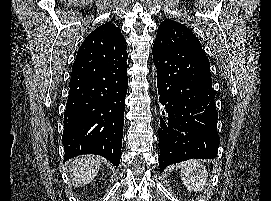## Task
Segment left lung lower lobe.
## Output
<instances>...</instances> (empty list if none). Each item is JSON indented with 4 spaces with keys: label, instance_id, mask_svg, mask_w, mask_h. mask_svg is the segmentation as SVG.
I'll list each match as a JSON object with an SVG mask.
<instances>
[{
    "label": "left lung lower lobe",
    "instance_id": "obj_1",
    "mask_svg": "<svg viewBox=\"0 0 271 201\" xmlns=\"http://www.w3.org/2000/svg\"><path fill=\"white\" fill-rule=\"evenodd\" d=\"M160 118L159 167L188 159H213L219 136L215 90L198 39L187 27L165 42L154 43Z\"/></svg>",
    "mask_w": 271,
    "mask_h": 201
}]
</instances>
